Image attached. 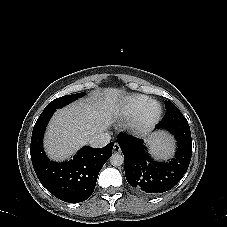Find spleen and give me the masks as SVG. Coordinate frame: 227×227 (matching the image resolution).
Masks as SVG:
<instances>
[{
    "mask_svg": "<svg viewBox=\"0 0 227 227\" xmlns=\"http://www.w3.org/2000/svg\"><path fill=\"white\" fill-rule=\"evenodd\" d=\"M140 141L148 149L149 159L156 165L173 163L181 154L182 146L179 135L162 123L152 121L140 130Z\"/></svg>",
    "mask_w": 227,
    "mask_h": 227,
    "instance_id": "spleen-1",
    "label": "spleen"
}]
</instances>
